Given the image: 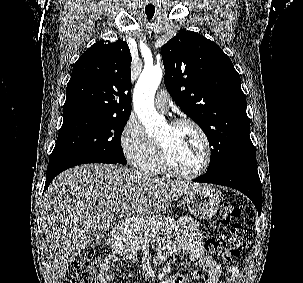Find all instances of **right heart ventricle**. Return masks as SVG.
I'll use <instances>...</instances> for the list:
<instances>
[{
  "label": "right heart ventricle",
  "instance_id": "e07e8e85",
  "mask_svg": "<svg viewBox=\"0 0 303 283\" xmlns=\"http://www.w3.org/2000/svg\"><path fill=\"white\" fill-rule=\"evenodd\" d=\"M139 167L143 172L150 175H157L164 171L159 162L156 145L151 151L150 155Z\"/></svg>",
  "mask_w": 303,
  "mask_h": 283
}]
</instances>
